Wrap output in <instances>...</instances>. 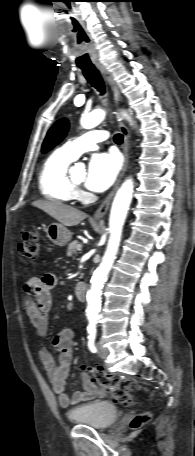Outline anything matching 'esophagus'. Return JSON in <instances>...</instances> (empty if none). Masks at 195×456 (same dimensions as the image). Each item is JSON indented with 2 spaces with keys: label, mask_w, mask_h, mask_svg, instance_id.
Here are the masks:
<instances>
[{
  "label": "esophagus",
  "mask_w": 195,
  "mask_h": 456,
  "mask_svg": "<svg viewBox=\"0 0 195 456\" xmlns=\"http://www.w3.org/2000/svg\"><path fill=\"white\" fill-rule=\"evenodd\" d=\"M97 68L100 71V73L103 76V78L108 83V85L110 86V88L112 90V93H113L114 102H115L116 105H118L119 101H120V91H119V88H118L116 82L114 81L111 73L103 65H98ZM117 120L119 122V128H120V130H121V132L123 134L122 150H123V155H124V165H123L121 173H120V175H119V177H118L113 189L108 194V196L105 198V200L102 202L100 207L94 213L93 219H95V220L103 219V217L106 215V213H107V211L109 209L110 203L112 201V198H113L116 190L118 189V187L120 185V182H121V180H122V178H123V176H124V174H125V172L127 170L128 163H129V139H130V133H129L128 128L126 127V125L122 121V118H121V116L119 114H117Z\"/></svg>",
  "instance_id": "obj_1"
}]
</instances>
